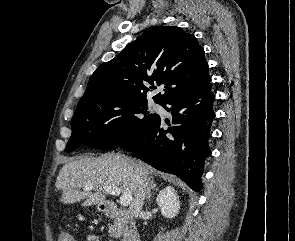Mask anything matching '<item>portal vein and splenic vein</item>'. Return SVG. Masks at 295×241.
<instances>
[{"label": "portal vein and splenic vein", "instance_id": "portal-vein-and-splenic-vein-1", "mask_svg": "<svg viewBox=\"0 0 295 241\" xmlns=\"http://www.w3.org/2000/svg\"><path fill=\"white\" fill-rule=\"evenodd\" d=\"M93 188V185L89 184L85 186V190H90ZM105 192L111 195H119L121 193V189L116 186H105L103 187ZM132 202V195L130 194H123L120 197V204L122 206H128Z\"/></svg>", "mask_w": 295, "mask_h": 241}]
</instances>
